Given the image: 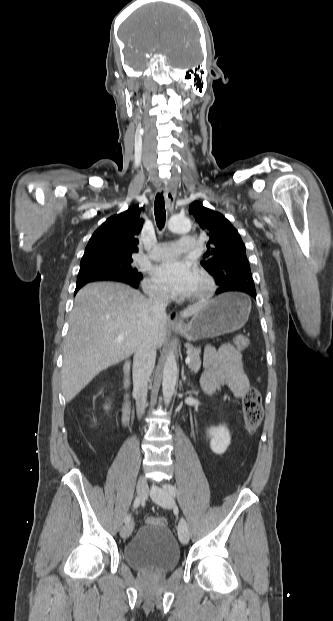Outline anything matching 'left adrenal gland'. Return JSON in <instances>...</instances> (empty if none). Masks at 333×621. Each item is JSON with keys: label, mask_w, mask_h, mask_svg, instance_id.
<instances>
[{"label": "left adrenal gland", "mask_w": 333, "mask_h": 621, "mask_svg": "<svg viewBox=\"0 0 333 621\" xmlns=\"http://www.w3.org/2000/svg\"><path fill=\"white\" fill-rule=\"evenodd\" d=\"M182 377H183V380L185 381L186 376L184 375V372H183V374H182ZM189 385H190V384H189Z\"/></svg>", "instance_id": "obj_1"}]
</instances>
